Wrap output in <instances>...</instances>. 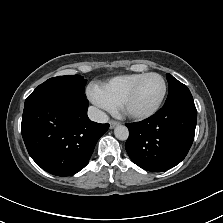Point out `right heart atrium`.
Listing matches in <instances>:
<instances>
[{"instance_id": "right-heart-atrium-1", "label": "right heart atrium", "mask_w": 223, "mask_h": 223, "mask_svg": "<svg viewBox=\"0 0 223 223\" xmlns=\"http://www.w3.org/2000/svg\"><path fill=\"white\" fill-rule=\"evenodd\" d=\"M92 101L101 109L111 110L113 107L108 103V101L100 93L98 87H93L91 91Z\"/></svg>"}]
</instances>
